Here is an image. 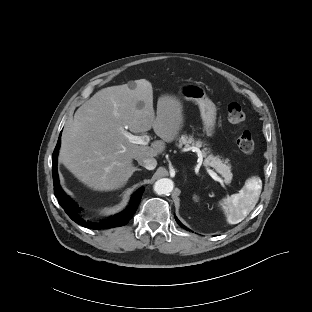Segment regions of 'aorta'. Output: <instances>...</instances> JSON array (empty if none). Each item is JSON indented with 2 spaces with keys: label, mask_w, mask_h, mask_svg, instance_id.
<instances>
[{
  "label": "aorta",
  "mask_w": 312,
  "mask_h": 312,
  "mask_svg": "<svg viewBox=\"0 0 312 312\" xmlns=\"http://www.w3.org/2000/svg\"><path fill=\"white\" fill-rule=\"evenodd\" d=\"M173 181L168 178H162L155 182L154 191L158 195L169 194L173 190Z\"/></svg>",
  "instance_id": "1"
}]
</instances>
